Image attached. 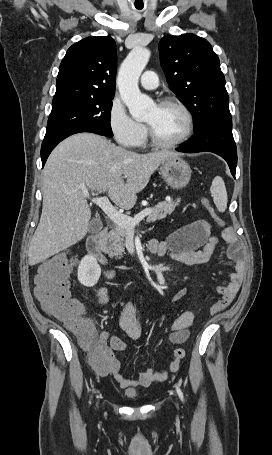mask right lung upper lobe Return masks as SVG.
Here are the masks:
<instances>
[{"label": "right lung upper lobe", "mask_w": 272, "mask_h": 455, "mask_svg": "<svg viewBox=\"0 0 272 455\" xmlns=\"http://www.w3.org/2000/svg\"><path fill=\"white\" fill-rule=\"evenodd\" d=\"M116 44L110 36L87 37L73 44L63 58L54 100L114 96Z\"/></svg>", "instance_id": "obj_1"}]
</instances>
